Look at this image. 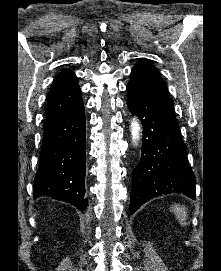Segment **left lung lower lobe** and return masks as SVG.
I'll return each instance as SVG.
<instances>
[{
    "instance_id": "left-lung-lower-lobe-1",
    "label": "left lung lower lobe",
    "mask_w": 221,
    "mask_h": 271,
    "mask_svg": "<svg viewBox=\"0 0 221 271\" xmlns=\"http://www.w3.org/2000/svg\"><path fill=\"white\" fill-rule=\"evenodd\" d=\"M127 105L143 125L142 154L132 172L130 213L161 194L181 193L196 198L195 178L188 165L175 112L128 83Z\"/></svg>"
}]
</instances>
